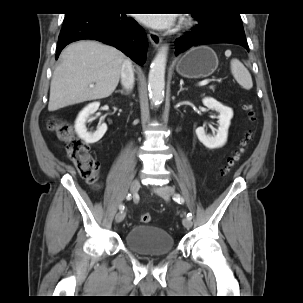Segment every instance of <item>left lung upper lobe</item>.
<instances>
[{"label": "left lung upper lobe", "instance_id": "1", "mask_svg": "<svg viewBox=\"0 0 303 303\" xmlns=\"http://www.w3.org/2000/svg\"><path fill=\"white\" fill-rule=\"evenodd\" d=\"M195 18H202L208 25H242L240 14L216 11L206 14H194Z\"/></svg>", "mask_w": 303, "mask_h": 303}]
</instances>
